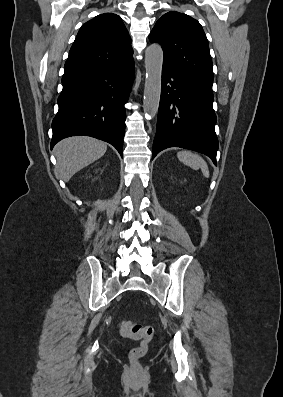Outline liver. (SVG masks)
<instances>
[{"label":"liver","mask_w":283,"mask_h":397,"mask_svg":"<svg viewBox=\"0 0 283 397\" xmlns=\"http://www.w3.org/2000/svg\"><path fill=\"white\" fill-rule=\"evenodd\" d=\"M107 144L88 136H75L60 141L54 148L57 172L64 181L101 158Z\"/></svg>","instance_id":"obj_1"}]
</instances>
